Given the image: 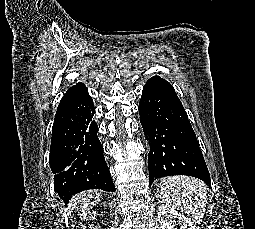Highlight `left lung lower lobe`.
Here are the masks:
<instances>
[{"label":"left lung lower lobe","instance_id":"obj_1","mask_svg":"<svg viewBox=\"0 0 255 229\" xmlns=\"http://www.w3.org/2000/svg\"><path fill=\"white\" fill-rule=\"evenodd\" d=\"M140 122L149 134V184L171 175L194 176L211 187V180L187 113L168 81L150 78L139 103Z\"/></svg>","mask_w":255,"mask_h":229}]
</instances>
